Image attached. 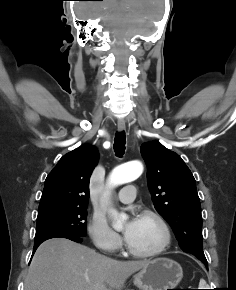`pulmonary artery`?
I'll use <instances>...</instances> for the list:
<instances>
[{
    "label": "pulmonary artery",
    "mask_w": 236,
    "mask_h": 290,
    "mask_svg": "<svg viewBox=\"0 0 236 290\" xmlns=\"http://www.w3.org/2000/svg\"><path fill=\"white\" fill-rule=\"evenodd\" d=\"M136 196V187L134 185H126L117 194V200L122 203H130L134 200Z\"/></svg>",
    "instance_id": "pulmonary-artery-1"
}]
</instances>
